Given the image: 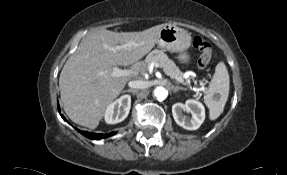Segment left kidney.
Here are the masks:
<instances>
[{
    "instance_id": "1",
    "label": "left kidney",
    "mask_w": 287,
    "mask_h": 175,
    "mask_svg": "<svg viewBox=\"0 0 287 175\" xmlns=\"http://www.w3.org/2000/svg\"><path fill=\"white\" fill-rule=\"evenodd\" d=\"M185 110L191 113V119L183 114ZM172 114L175 122L179 126L187 130H196L205 119V108L201 102L189 99L185 104L175 103L172 106Z\"/></svg>"
}]
</instances>
